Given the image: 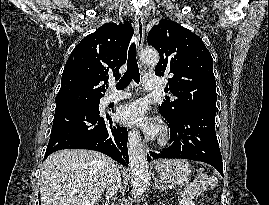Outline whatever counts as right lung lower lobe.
Listing matches in <instances>:
<instances>
[{
  "mask_svg": "<svg viewBox=\"0 0 269 205\" xmlns=\"http://www.w3.org/2000/svg\"><path fill=\"white\" fill-rule=\"evenodd\" d=\"M127 129L112 123L109 114L93 110L55 112L44 160L61 149H90L128 165Z\"/></svg>",
  "mask_w": 269,
  "mask_h": 205,
  "instance_id": "obj_1",
  "label": "right lung lower lobe"
}]
</instances>
